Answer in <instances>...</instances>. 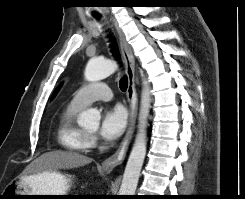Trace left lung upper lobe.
I'll list each match as a JSON object with an SVG mask.
<instances>
[{
    "instance_id": "obj_1",
    "label": "left lung upper lobe",
    "mask_w": 245,
    "mask_h": 199,
    "mask_svg": "<svg viewBox=\"0 0 245 199\" xmlns=\"http://www.w3.org/2000/svg\"><path fill=\"white\" fill-rule=\"evenodd\" d=\"M61 86V85H60ZM60 86L55 90V92L53 93V95H52V99L54 98V96H55V94H56V92L58 91V89L60 88Z\"/></svg>"
}]
</instances>
